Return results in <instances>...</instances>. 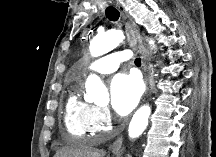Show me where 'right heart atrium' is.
Wrapping results in <instances>:
<instances>
[{
    "label": "right heart atrium",
    "mask_w": 216,
    "mask_h": 157,
    "mask_svg": "<svg viewBox=\"0 0 216 157\" xmlns=\"http://www.w3.org/2000/svg\"><path fill=\"white\" fill-rule=\"evenodd\" d=\"M112 116L106 107L93 106L89 117L90 130L92 133H102L109 129Z\"/></svg>",
    "instance_id": "d8ad5b80"
}]
</instances>
